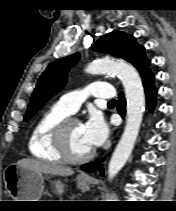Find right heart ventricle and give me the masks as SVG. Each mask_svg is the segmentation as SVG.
I'll list each match as a JSON object with an SVG mask.
<instances>
[{
  "instance_id": "obj_1",
  "label": "right heart ventricle",
  "mask_w": 176,
  "mask_h": 211,
  "mask_svg": "<svg viewBox=\"0 0 176 211\" xmlns=\"http://www.w3.org/2000/svg\"><path fill=\"white\" fill-rule=\"evenodd\" d=\"M69 115L58 104H54L40 115L28 140V149L34 158L54 163L64 162L54 147L52 134L54 127Z\"/></svg>"
}]
</instances>
